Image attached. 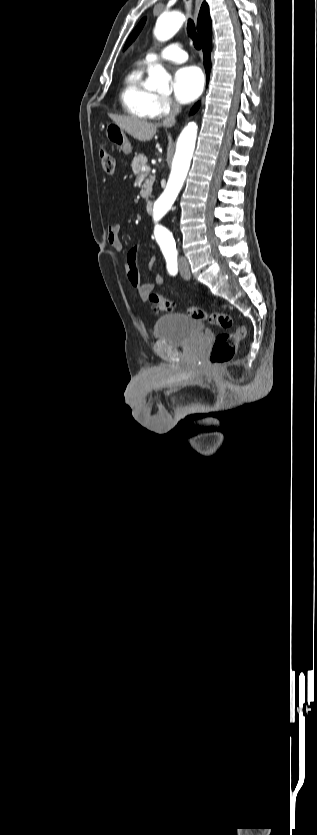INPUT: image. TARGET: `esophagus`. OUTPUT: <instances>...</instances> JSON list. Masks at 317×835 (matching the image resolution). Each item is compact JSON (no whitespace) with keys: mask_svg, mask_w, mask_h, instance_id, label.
<instances>
[{"mask_svg":"<svg viewBox=\"0 0 317 835\" xmlns=\"http://www.w3.org/2000/svg\"><path fill=\"white\" fill-rule=\"evenodd\" d=\"M203 0H195L194 16L197 19Z\"/></svg>","mask_w":317,"mask_h":835,"instance_id":"esophagus-1","label":"esophagus"}]
</instances>
